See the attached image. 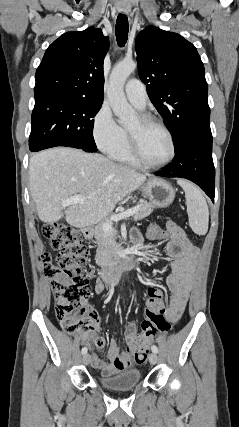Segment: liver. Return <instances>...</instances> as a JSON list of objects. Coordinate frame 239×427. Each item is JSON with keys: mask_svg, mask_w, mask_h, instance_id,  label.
Listing matches in <instances>:
<instances>
[{"mask_svg": "<svg viewBox=\"0 0 239 427\" xmlns=\"http://www.w3.org/2000/svg\"><path fill=\"white\" fill-rule=\"evenodd\" d=\"M147 177L101 154L57 147L34 154L29 162V188L42 222L64 215L71 226L91 227L107 219L124 197ZM74 195L82 203L64 205Z\"/></svg>", "mask_w": 239, "mask_h": 427, "instance_id": "liver-1", "label": "liver"}]
</instances>
